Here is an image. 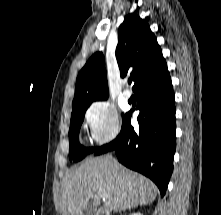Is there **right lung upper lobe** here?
Instances as JSON below:
<instances>
[{"label": "right lung upper lobe", "instance_id": "obj_1", "mask_svg": "<svg viewBox=\"0 0 221 215\" xmlns=\"http://www.w3.org/2000/svg\"><path fill=\"white\" fill-rule=\"evenodd\" d=\"M115 54L121 77L129 74L133 78L134 91L167 71L166 61L154 33L148 23L136 14L126 16L120 25ZM107 97L104 56L97 52L78 74L72 105L106 100Z\"/></svg>", "mask_w": 221, "mask_h": 215}]
</instances>
